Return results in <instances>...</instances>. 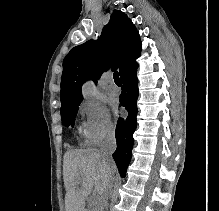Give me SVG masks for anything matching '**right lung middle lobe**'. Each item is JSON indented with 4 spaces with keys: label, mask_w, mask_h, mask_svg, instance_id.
<instances>
[{
    "label": "right lung middle lobe",
    "mask_w": 219,
    "mask_h": 211,
    "mask_svg": "<svg viewBox=\"0 0 219 211\" xmlns=\"http://www.w3.org/2000/svg\"><path fill=\"white\" fill-rule=\"evenodd\" d=\"M82 101L61 105V118L63 124L74 127L78 106Z\"/></svg>",
    "instance_id": "obj_1"
}]
</instances>
